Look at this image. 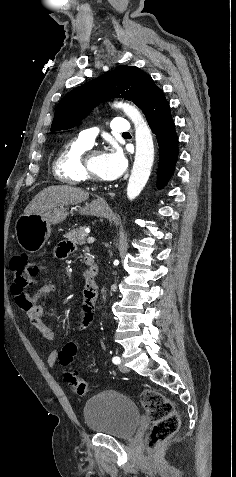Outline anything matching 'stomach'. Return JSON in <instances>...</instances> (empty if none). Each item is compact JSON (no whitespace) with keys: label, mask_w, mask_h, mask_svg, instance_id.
Returning a JSON list of instances; mask_svg holds the SVG:
<instances>
[{"label":"stomach","mask_w":236,"mask_h":477,"mask_svg":"<svg viewBox=\"0 0 236 477\" xmlns=\"http://www.w3.org/2000/svg\"><path fill=\"white\" fill-rule=\"evenodd\" d=\"M79 211L81 215H92L108 218L111 214L110 207L100 199L85 206H77L71 210ZM67 208L57 207L44 214H23L15 224L16 239L23 250L29 253L38 252L50 238L52 225L63 222L68 216Z\"/></svg>","instance_id":"0dacf381"}]
</instances>
